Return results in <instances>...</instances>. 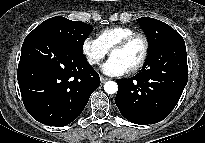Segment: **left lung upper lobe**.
I'll use <instances>...</instances> for the list:
<instances>
[{
	"mask_svg": "<svg viewBox=\"0 0 205 143\" xmlns=\"http://www.w3.org/2000/svg\"><path fill=\"white\" fill-rule=\"evenodd\" d=\"M141 28L145 32L149 42V52L147 60L142 69L152 68V64L160 58V55L155 56L154 51L166 40L174 36L180 35L168 24L157 19L142 17L137 19ZM164 56V55H163ZM164 58H160L162 60Z\"/></svg>",
	"mask_w": 205,
	"mask_h": 143,
	"instance_id": "1",
	"label": "left lung upper lobe"
}]
</instances>
